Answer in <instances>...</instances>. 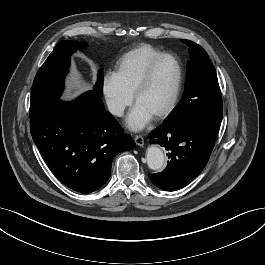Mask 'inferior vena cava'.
Here are the masks:
<instances>
[{"instance_id":"obj_1","label":"inferior vena cava","mask_w":265,"mask_h":265,"mask_svg":"<svg viewBox=\"0 0 265 265\" xmlns=\"http://www.w3.org/2000/svg\"><path fill=\"white\" fill-rule=\"evenodd\" d=\"M107 106H108L109 112L111 114L116 115V116H122L123 115V112H124L123 106L116 104L112 101L107 102Z\"/></svg>"}]
</instances>
